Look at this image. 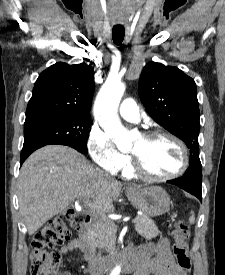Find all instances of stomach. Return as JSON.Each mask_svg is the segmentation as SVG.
Instances as JSON below:
<instances>
[{
  "label": "stomach",
  "mask_w": 225,
  "mask_h": 275,
  "mask_svg": "<svg viewBox=\"0 0 225 275\" xmlns=\"http://www.w3.org/2000/svg\"><path fill=\"white\" fill-rule=\"evenodd\" d=\"M126 194L132 205L146 217H158L170 209V198L160 186L131 188Z\"/></svg>",
  "instance_id": "obj_1"
}]
</instances>
